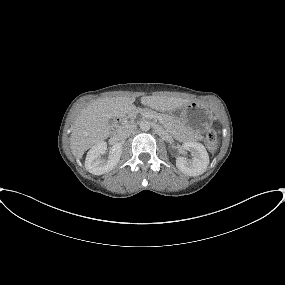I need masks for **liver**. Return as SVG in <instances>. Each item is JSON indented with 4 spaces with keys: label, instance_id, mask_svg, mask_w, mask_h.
<instances>
[{
    "label": "liver",
    "instance_id": "obj_1",
    "mask_svg": "<svg viewBox=\"0 0 285 285\" xmlns=\"http://www.w3.org/2000/svg\"><path fill=\"white\" fill-rule=\"evenodd\" d=\"M135 96L101 98L90 103L77 116L70 136V149L76 159L85 151L107 139L110 135L109 120L132 113L135 110ZM189 99L168 96H143L141 103L158 111H173Z\"/></svg>",
    "mask_w": 285,
    "mask_h": 285
}]
</instances>
